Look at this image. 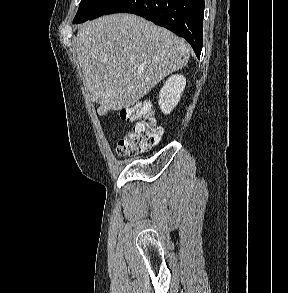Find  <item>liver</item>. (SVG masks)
Wrapping results in <instances>:
<instances>
[{"label":"liver","mask_w":288,"mask_h":293,"mask_svg":"<svg viewBox=\"0 0 288 293\" xmlns=\"http://www.w3.org/2000/svg\"><path fill=\"white\" fill-rule=\"evenodd\" d=\"M189 46L169 30L133 14L82 25L76 53L84 86L100 115L134 105L167 75L184 67Z\"/></svg>","instance_id":"obj_1"}]
</instances>
